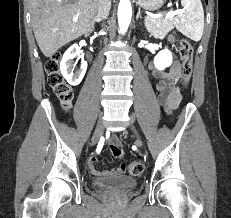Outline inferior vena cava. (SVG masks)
I'll list each match as a JSON object with an SVG mask.
<instances>
[{
  "instance_id": "602c4592",
  "label": "inferior vena cava",
  "mask_w": 231,
  "mask_h": 218,
  "mask_svg": "<svg viewBox=\"0 0 231 218\" xmlns=\"http://www.w3.org/2000/svg\"><path fill=\"white\" fill-rule=\"evenodd\" d=\"M111 9V0H97V16L100 21L106 19Z\"/></svg>"
}]
</instances>
